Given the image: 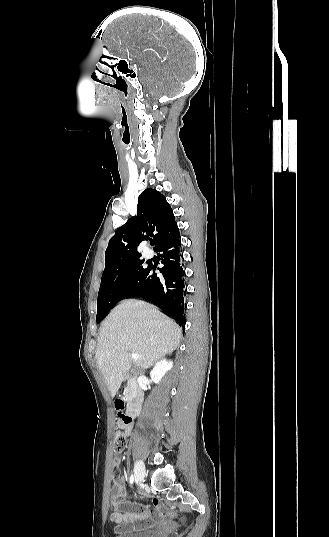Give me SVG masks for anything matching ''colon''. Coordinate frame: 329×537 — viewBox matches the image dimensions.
Masks as SVG:
<instances>
[{
	"label": "colon",
	"instance_id": "5ec220e1",
	"mask_svg": "<svg viewBox=\"0 0 329 537\" xmlns=\"http://www.w3.org/2000/svg\"><path fill=\"white\" fill-rule=\"evenodd\" d=\"M118 418L122 423H130V418L123 412H118ZM127 445V435L123 431H116L113 438L114 453H121Z\"/></svg>",
	"mask_w": 329,
	"mask_h": 537
}]
</instances>
